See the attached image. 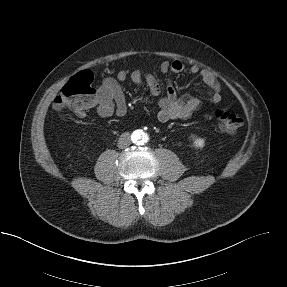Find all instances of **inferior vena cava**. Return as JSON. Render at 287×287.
<instances>
[{"label": "inferior vena cava", "instance_id": "602c4592", "mask_svg": "<svg viewBox=\"0 0 287 287\" xmlns=\"http://www.w3.org/2000/svg\"><path fill=\"white\" fill-rule=\"evenodd\" d=\"M131 144V139L129 133H123L118 140V147L121 149L129 147Z\"/></svg>", "mask_w": 287, "mask_h": 287}]
</instances>
